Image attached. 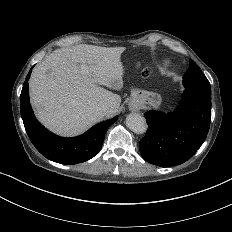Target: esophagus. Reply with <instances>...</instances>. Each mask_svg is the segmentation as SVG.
<instances>
[{
  "instance_id": "esophagus-1",
  "label": "esophagus",
  "mask_w": 232,
  "mask_h": 232,
  "mask_svg": "<svg viewBox=\"0 0 232 232\" xmlns=\"http://www.w3.org/2000/svg\"><path fill=\"white\" fill-rule=\"evenodd\" d=\"M129 108L132 111H138L140 106L139 103L135 99H133L129 102Z\"/></svg>"
}]
</instances>
